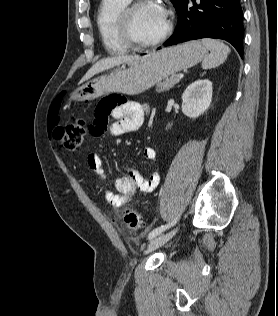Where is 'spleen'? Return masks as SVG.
Masks as SVG:
<instances>
[{
    "label": "spleen",
    "mask_w": 278,
    "mask_h": 316,
    "mask_svg": "<svg viewBox=\"0 0 278 316\" xmlns=\"http://www.w3.org/2000/svg\"><path fill=\"white\" fill-rule=\"evenodd\" d=\"M202 44L210 51V54L203 58V69H211L219 66L226 60L230 53V48L227 45L215 39L204 38L202 39Z\"/></svg>",
    "instance_id": "3e777b00"
}]
</instances>
